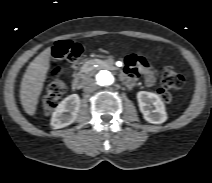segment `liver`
Masks as SVG:
<instances>
[{"mask_svg":"<svg viewBox=\"0 0 212 183\" xmlns=\"http://www.w3.org/2000/svg\"><path fill=\"white\" fill-rule=\"evenodd\" d=\"M51 49L41 52L28 66L20 88L21 104L28 115H34L49 69Z\"/></svg>","mask_w":212,"mask_h":183,"instance_id":"6515ba94","label":"liver"}]
</instances>
